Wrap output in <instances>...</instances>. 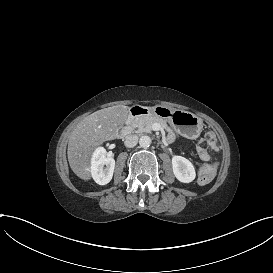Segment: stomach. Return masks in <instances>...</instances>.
I'll list each match as a JSON object with an SVG mask.
<instances>
[{"instance_id": "obj_1", "label": "stomach", "mask_w": 273, "mask_h": 273, "mask_svg": "<svg viewBox=\"0 0 273 273\" xmlns=\"http://www.w3.org/2000/svg\"><path fill=\"white\" fill-rule=\"evenodd\" d=\"M148 114L160 117L169 122L173 129L181 136L195 140L200 137L203 130V120L195 114L157 105L148 108Z\"/></svg>"}]
</instances>
